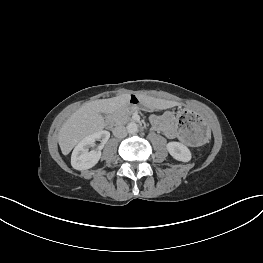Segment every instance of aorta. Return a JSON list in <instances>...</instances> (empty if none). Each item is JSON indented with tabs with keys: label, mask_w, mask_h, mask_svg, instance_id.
I'll use <instances>...</instances> for the list:
<instances>
[{
	"label": "aorta",
	"mask_w": 263,
	"mask_h": 263,
	"mask_svg": "<svg viewBox=\"0 0 263 263\" xmlns=\"http://www.w3.org/2000/svg\"><path fill=\"white\" fill-rule=\"evenodd\" d=\"M127 132L130 134H135L136 132H138V125L135 122H130L127 127Z\"/></svg>",
	"instance_id": "1"
}]
</instances>
